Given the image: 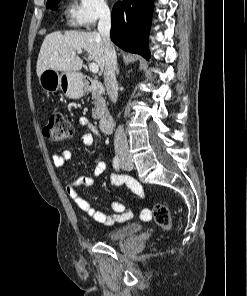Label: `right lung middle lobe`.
<instances>
[{
	"label": "right lung middle lobe",
	"instance_id": "dd1d6c3e",
	"mask_svg": "<svg viewBox=\"0 0 247 296\" xmlns=\"http://www.w3.org/2000/svg\"><path fill=\"white\" fill-rule=\"evenodd\" d=\"M59 1H60V0H48V1H47V7H49V8H51V9L55 10V9H56V6H57V4H58Z\"/></svg>",
	"mask_w": 247,
	"mask_h": 296
}]
</instances>
